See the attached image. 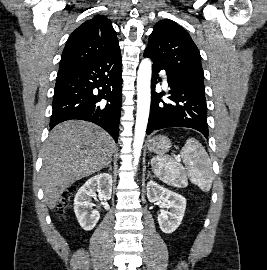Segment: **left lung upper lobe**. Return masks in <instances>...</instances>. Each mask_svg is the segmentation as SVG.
Returning <instances> with one entry per match:
<instances>
[{
	"label": "left lung upper lobe",
	"instance_id": "5c2ea615",
	"mask_svg": "<svg viewBox=\"0 0 267 270\" xmlns=\"http://www.w3.org/2000/svg\"><path fill=\"white\" fill-rule=\"evenodd\" d=\"M145 52L171 76L205 90L200 52L178 24L170 20L157 22Z\"/></svg>",
	"mask_w": 267,
	"mask_h": 270
}]
</instances>
